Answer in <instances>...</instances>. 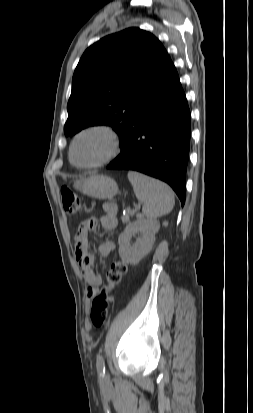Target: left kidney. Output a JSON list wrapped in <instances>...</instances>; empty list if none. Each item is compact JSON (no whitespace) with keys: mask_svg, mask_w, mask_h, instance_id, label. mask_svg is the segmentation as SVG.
I'll use <instances>...</instances> for the list:
<instances>
[{"mask_svg":"<svg viewBox=\"0 0 253 413\" xmlns=\"http://www.w3.org/2000/svg\"><path fill=\"white\" fill-rule=\"evenodd\" d=\"M158 230L159 224L154 220L139 218L129 223L118 239L121 260L131 265L138 264L151 251ZM136 233H140L141 237L135 245L131 246L130 240Z\"/></svg>","mask_w":253,"mask_h":413,"instance_id":"obj_1","label":"left kidney"}]
</instances>
